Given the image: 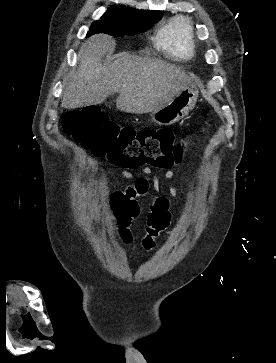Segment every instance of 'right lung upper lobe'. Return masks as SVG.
<instances>
[{"instance_id": "obj_1", "label": "right lung upper lobe", "mask_w": 276, "mask_h": 363, "mask_svg": "<svg viewBox=\"0 0 276 363\" xmlns=\"http://www.w3.org/2000/svg\"><path fill=\"white\" fill-rule=\"evenodd\" d=\"M115 7H124V8H126L125 6H115Z\"/></svg>"}]
</instances>
